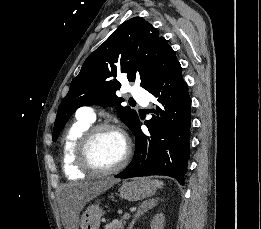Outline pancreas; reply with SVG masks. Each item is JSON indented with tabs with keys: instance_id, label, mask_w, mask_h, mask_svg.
Masks as SVG:
<instances>
[{
	"instance_id": "obj_1",
	"label": "pancreas",
	"mask_w": 261,
	"mask_h": 229,
	"mask_svg": "<svg viewBox=\"0 0 261 229\" xmlns=\"http://www.w3.org/2000/svg\"><path fill=\"white\" fill-rule=\"evenodd\" d=\"M127 219L125 217H122L120 221H112V223H109V225H106V229H124V225H126Z\"/></svg>"
}]
</instances>
